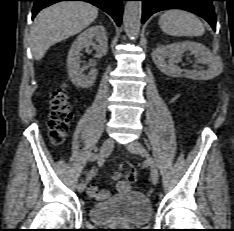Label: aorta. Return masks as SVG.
<instances>
[{
	"label": "aorta",
	"instance_id": "obj_1",
	"mask_svg": "<svg viewBox=\"0 0 234 231\" xmlns=\"http://www.w3.org/2000/svg\"><path fill=\"white\" fill-rule=\"evenodd\" d=\"M142 16L141 1H127L124 8L123 25L129 38L135 39L140 31Z\"/></svg>",
	"mask_w": 234,
	"mask_h": 231
}]
</instances>
